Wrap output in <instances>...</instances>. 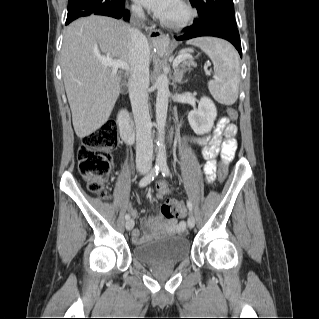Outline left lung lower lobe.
Instances as JSON below:
<instances>
[{
  "label": "left lung lower lobe",
  "instance_id": "obj_1",
  "mask_svg": "<svg viewBox=\"0 0 319 319\" xmlns=\"http://www.w3.org/2000/svg\"><path fill=\"white\" fill-rule=\"evenodd\" d=\"M183 31L186 33L181 36H175L176 40H188L200 36L222 38L232 43L242 57L240 36L236 25L221 21H208L193 23V25L185 27Z\"/></svg>",
  "mask_w": 319,
  "mask_h": 319
}]
</instances>
